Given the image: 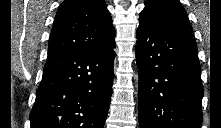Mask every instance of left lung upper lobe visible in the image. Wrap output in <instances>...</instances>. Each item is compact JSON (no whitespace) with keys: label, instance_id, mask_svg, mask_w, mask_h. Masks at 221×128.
Instances as JSON below:
<instances>
[{"label":"left lung upper lobe","instance_id":"obj_1","mask_svg":"<svg viewBox=\"0 0 221 128\" xmlns=\"http://www.w3.org/2000/svg\"><path fill=\"white\" fill-rule=\"evenodd\" d=\"M139 22H146L158 28L195 42L194 32L181 4L175 0H146Z\"/></svg>","mask_w":221,"mask_h":128}]
</instances>
